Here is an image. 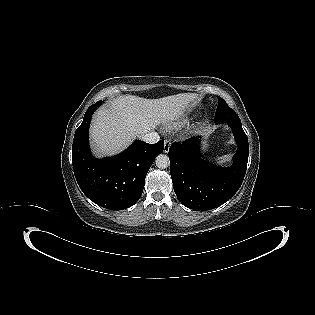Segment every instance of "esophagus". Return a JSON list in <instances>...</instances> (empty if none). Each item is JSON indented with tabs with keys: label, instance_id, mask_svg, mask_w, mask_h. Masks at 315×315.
Here are the masks:
<instances>
[{
	"label": "esophagus",
	"instance_id": "1",
	"mask_svg": "<svg viewBox=\"0 0 315 315\" xmlns=\"http://www.w3.org/2000/svg\"><path fill=\"white\" fill-rule=\"evenodd\" d=\"M170 146H171V142H170L169 140H165L163 151H164L165 153H168V152H169V149H170Z\"/></svg>",
	"mask_w": 315,
	"mask_h": 315
}]
</instances>
